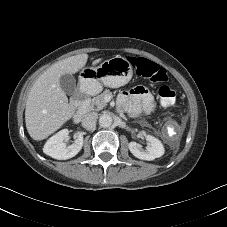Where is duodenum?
Wrapping results in <instances>:
<instances>
[{"label":"duodenum","mask_w":227,"mask_h":227,"mask_svg":"<svg viewBox=\"0 0 227 227\" xmlns=\"http://www.w3.org/2000/svg\"><path fill=\"white\" fill-rule=\"evenodd\" d=\"M74 104L78 107V110L73 117V122L78 124L88 110L89 101L83 92H79L74 97Z\"/></svg>","instance_id":"obj_1"}]
</instances>
